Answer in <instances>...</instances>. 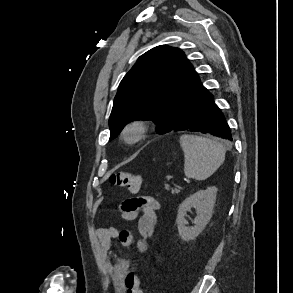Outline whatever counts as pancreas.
Masks as SVG:
<instances>
[{"mask_svg":"<svg viewBox=\"0 0 293 293\" xmlns=\"http://www.w3.org/2000/svg\"><path fill=\"white\" fill-rule=\"evenodd\" d=\"M165 188L168 189L169 186L166 185ZM180 190H181V187L176 186V188L172 189V194H178L180 192Z\"/></svg>","mask_w":293,"mask_h":293,"instance_id":"1","label":"pancreas"}]
</instances>
